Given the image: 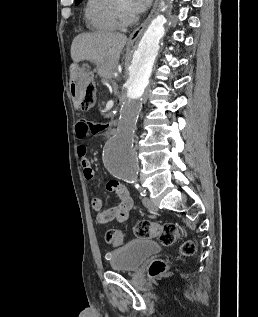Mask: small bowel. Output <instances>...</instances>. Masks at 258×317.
<instances>
[{
  "label": "small bowel",
  "instance_id": "1",
  "mask_svg": "<svg viewBox=\"0 0 258 317\" xmlns=\"http://www.w3.org/2000/svg\"><path fill=\"white\" fill-rule=\"evenodd\" d=\"M108 126V124L104 123H90L86 120H79L75 126L76 137L80 142H82L90 133L97 134L106 130ZM77 154L80 158L84 177L87 180L93 179L95 172L91 166L89 158L87 157V148L83 143L78 145ZM106 189L109 192L116 194L119 202L115 206L103 209L102 200L98 197L93 198L92 207L98 212L97 221L100 224L109 223L111 221H125L133 207V200L127 188L117 181H110L106 185Z\"/></svg>",
  "mask_w": 258,
  "mask_h": 317
}]
</instances>
